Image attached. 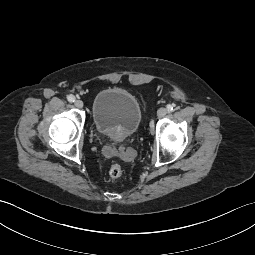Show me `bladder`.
Listing matches in <instances>:
<instances>
[{
    "mask_svg": "<svg viewBox=\"0 0 255 255\" xmlns=\"http://www.w3.org/2000/svg\"><path fill=\"white\" fill-rule=\"evenodd\" d=\"M92 118L98 133L107 138L123 140L139 128L142 110L139 101L130 92L108 88L95 95Z\"/></svg>",
    "mask_w": 255,
    "mask_h": 255,
    "instance_id": "bladder-1",
    "label": "bladder"
}]
</instances>
